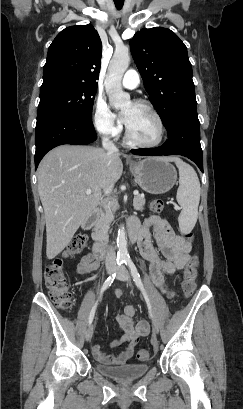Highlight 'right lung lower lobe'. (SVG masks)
I'll use <instances>...</instances> for the list:
<instances>
[{
	"label": "right lung lower lobe",
	"mask_w": 243,
	"mask_h": 409,
	"mask_svg": "<svg viewBox=\"0 0 243 409\" xmlns=\"http://www.w3.org/2000/svg\"><path fill=\"white\" fill-rule=\"evenodd\" d=\"M97 139L92 122L62 115L46 116L37 121L35 130V169L52 148L63 145H88Z\"/></svg>",
	"instance_id": "obj_1"
}]
</instances>
